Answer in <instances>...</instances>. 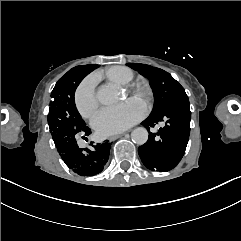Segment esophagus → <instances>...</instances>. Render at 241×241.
Returning <instances> with one entry per match:
<instances>
[{"instance_id":"obj_1","label":"esophagus","mask_w":241,"mask_h":241,"mask_svg":"<svg viewBox=\"0 0 241 241\" xmlns=\"http://www.w3.org/2000/svg\"><path fill=\"white\" fill-rule=\"evenodd\" d=\"M123 135H124V133L116 134V135H114V136H110V137L108 138V140H109V141H115L116 139L122 137Z\"/></svg>"}]
</instances>
